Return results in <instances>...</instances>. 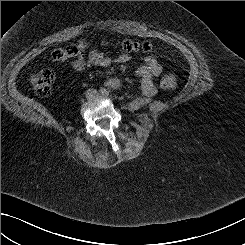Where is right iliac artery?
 <instances>
[{"instance_id":"82829eb1","label":"right iliac artery","mask_w":245,"mask_h":245,"mask_svg":"<svg viewBox=\"0 0 245 245\" xmlns=\"http://www.w3.org/2000/svg\"><path fill=\"white\" fill-rule=\"evenodd\" d=\"M100 92H101L102 94H106L107 91H106L105 88H101V89H100Z\"/></svg>"}]
</instances>
